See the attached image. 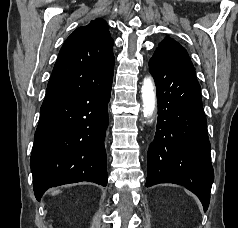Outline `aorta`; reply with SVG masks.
<instances>
[{
    "mask_svg": "<svg viewBox=\"0 0 238 228\" xmlns=\"http://www.w3.org/2000/svg\"><path fill=\"white\" fill-rule=\"evenodd\" d=\"M141 92L144 116L146 118H151L156 104V93L151 77H146L144 79Z\"/></svg>",
    "mask_w": 238,
    "mask_h": 228,
    "instance_id": "obj_1",
    "label": "aorta"
}]
</instances>
